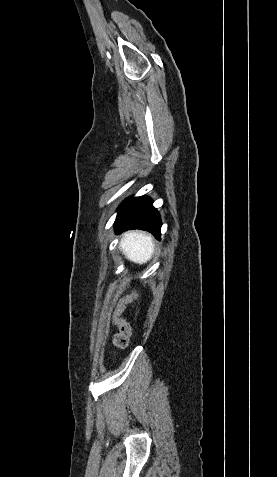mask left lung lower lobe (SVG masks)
<instances>
[{
    "label": "left lung lower lobe",
    "instance_id": "left-lung-lower-lobe-1",
    "mask_svg": "<svg viewBox=\"0 0 277 477\" xmlns=\"http://www.w3.org/2000/svg\"><path fill=\"white\" fill-rule=\"evenodd\" d=\"M147 196L127 198L118 208L115 220V232L128 229H142L151 232L160 239L161 219Z\"/></svg>",
    "mask_w": 277,
    "mask_h": 477
}]
</instances>
